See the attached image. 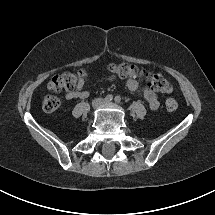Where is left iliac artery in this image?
<instances>
[{"label":"left iliac artery","instance_id":"44dca946","mask_svg":"<svg viewBox=\"0 0 215 215\" xmlns=\"http://www.w3.org/2000/svg\"><path fill=\"white\" fill-rule=\"evenodd\" d=\"M120 101H121L120 96H116V97H115V102H116V103H120Z\"/></svg>","mask_w":215,"mask_h":215}]
</instances>
